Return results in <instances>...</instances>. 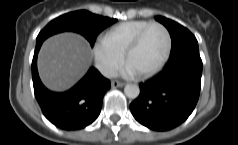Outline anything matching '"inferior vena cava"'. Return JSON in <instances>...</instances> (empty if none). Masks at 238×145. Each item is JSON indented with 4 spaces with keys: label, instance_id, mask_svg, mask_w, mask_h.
Returning a JSON list of instances; mask_svg holds the SVG:
<instances>
[{
    "label": "inferior vena cava",
    "instance_id": "inferior-vena-cava-1",
    "mask_svg": "<svg viewBox=\"0 0 238 145\" xmlns=\"http://www.w3.org/2000/svg\"><path fill=\"white\" fill-rule=\"evenodd\" d=\"M99 71L101 74L107 78H112L117 76V72L114 68L109 67V66H101L99 68Z\"/></svg>",
    "mask_w": 238,
    "mask_h": 145
}]
</instances>
